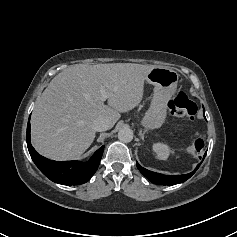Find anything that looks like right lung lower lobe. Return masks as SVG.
Segmentation results:
<instances>
[{"mask_svg": "<svg viewBox=\"0 0 237 237\" xmlns=\"http://www.w3.org/2000/svg\"><path fill=\"white\" fill-rule=\"evenodd\" d=\"M27 147L39 170L51 181L63 185H79L87 182L96 172L104 146L99 148L87 162L53 161L39 155L30 142V122L27 125Z\"/></svg>", "mask_w": 237, "mask_h": 237, "instance_id": "obj_1", "label": "right lung lower lobe"}]
</instances>
